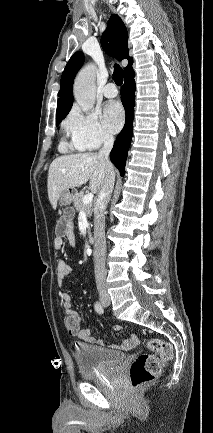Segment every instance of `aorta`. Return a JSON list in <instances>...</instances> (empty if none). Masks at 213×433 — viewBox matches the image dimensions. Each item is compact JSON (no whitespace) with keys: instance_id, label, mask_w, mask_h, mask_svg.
Segmentation results:
<instances>
[{"instance_id":"762f6f07","label":"aorta","mask_w":213,"mask_h":433,"mask_svg":"<svg viewBox=\"0 0 213 433\" xmlns=\"http://www.w3.org/2000/svg\"><path fill=\"white\" fill-rule=\"evenodd\" d=\"M95 72V65L89 64L78 73L74 81V97L84 112L92 109L95 104Z\"/></svg>"}]
</instances>
